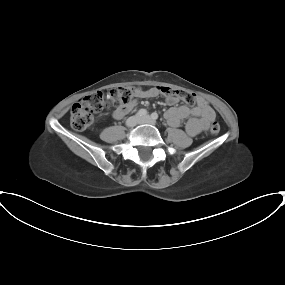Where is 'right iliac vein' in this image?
Returning <instances> with one entry per match:
<instances>
[{"label":"right iliac vein","instance_id":"63e3f726","mask_svg":"<svg viewBox=\"0 0 285 285\" xmlns=\"http://www.w3.org/2000/svg\"><path fill=\"white\" fill-rule=\"evenodd\" d=\"M139 122H140V117L136 115L130 117L126 122V125L128 127H135L137 124H139Z\"/></svg>","mask_w":285,"mask_h":285}]
</instances>
